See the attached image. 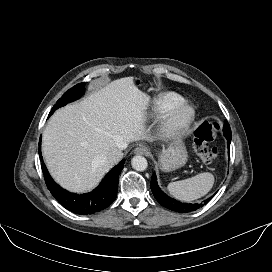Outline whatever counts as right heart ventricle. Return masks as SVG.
<instances>
[{
    "mask_svg": "<svg viewBox=\"0 0 272 272\" xmlns=\"http://www.w3.org/2000/svg\"><path fill=\"white\" fill-rule=\"evenodd\" d=\"M184 100V97L178 93H163L153 100L151 104V113L156 117L165 116L175 105Z\"/></svg>",
    "mask_w": 272,
    "mask_h": 272,
    "instance_id": "right-heart-ventricle-1",
    "label": "right heart ventricle"
}]
</instances>
